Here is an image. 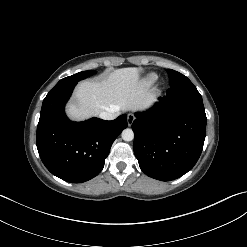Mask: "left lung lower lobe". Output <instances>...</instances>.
I'll use <instances>...</instances> for the list:
<instances>
[{
	"label": "left lung lower lobe",
	"instance_id": "0a47b994",
	"mask_svg": "<svg viewBox=\"0 0 247 247\" xmlns=\"http://www.w3.org/2000/svg\"><path fill=\"white\" fill-rule=\"evenodd\" d=\"M152 109L135 113L134 153L148 176L170 181L193 168L203 149L206 114L195 88H170Z\"/></svg>",
	"mask_w": 247,
	"mask_h": 247
}]
</instances>
